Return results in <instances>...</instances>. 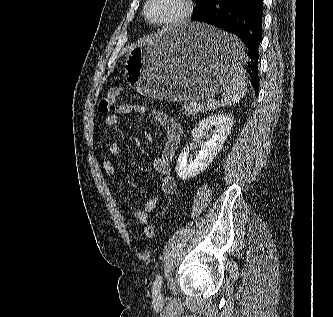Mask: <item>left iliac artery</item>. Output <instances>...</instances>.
Listing matches in <instances>:
<instances>
[{
  "label": "left iliac artery",
  "mask_w": 333,
  "mask_h": 317,
  "mask_svg": "<svg viewBox=\"0 0 333 317\" xmlns=\"http://www.w3.org/2000/svg\"><path fill=\"white\" fill-rule=\"evenodd\" d=\"M162 286V276H157L156 280L153 283V291L155 293L159 292Z\"/></svg>",
  "instance_id": "left-iliac-artery-1"
}]
</instances>
